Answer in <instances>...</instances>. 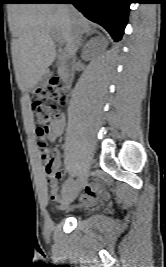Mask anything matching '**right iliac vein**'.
I'll use <instances>...</instances> for the list:
<instances>
[{"instance_id": "1", "label": "right iliac vein", "mask_w": 166, "mask_h": 267, "mask_svg": "<svg viewBox=\"0 0 166 267\" xmlns=\"http://www.w3.org/2000/svg\"><path fill=\"white\" fill-rule=\"evenodd\" d=\"M88 168L85 170L83 174L79 176V178L72 184V186L69 188L67 193L64 196L63 199V206H67L72 201L75 200V198L78 196L79 192L81 191L83 185L85 184L87 177H88Z\"/></svg>"}]
</instances>
